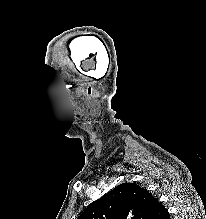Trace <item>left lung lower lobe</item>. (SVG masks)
Segmentation results:
<instances>
[{
	"label": "left lung lower lobe",
	"mask_w": 206,
	"mask_h": 219,
	"mask_svg": "<svg viewBox=\"0 0 206 219\" xmlns=\"http://www.w3.org/2000/svg\"><path fill=\"white\" fill-rule=\"evenodd\" d=\"M148 219H170L167 209L156 198L152 200V211Z\"/></svg>",
	"instance_id": "1"
}]
</instances>
